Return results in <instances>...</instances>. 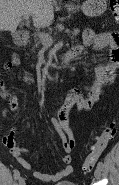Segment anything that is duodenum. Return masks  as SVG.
Returning <instances> with one entry per match:
<instances>
[{
  "label": "duodenum",
  "instance_id": "duodenum-1",
  "mask_svg": "<svg viewBox=\"0 0 119 185\" xmlns=\"http://www.w3.org/2000/svg\"><path fill=\"white\" fill-rule=\"evenodd\" d=\"M28 33L24 30H19L14 33V40L17 45H24L27 41ZM81 51L75 47L68 51L61 59L62 64H68L78 58Z\"/></svg>",
  "mask_w": 119,
  "mask_h": 185
}]
</instances>
